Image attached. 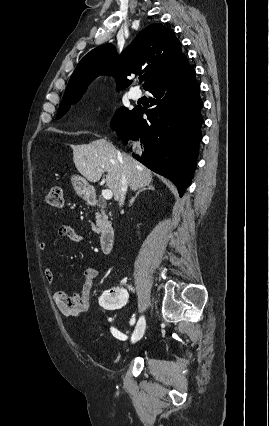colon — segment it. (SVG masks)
Wrapping results in <instances>:
<instances>
[{
    "mask_svg": "<svg viewBox=\"0 0 269 426\" xmlns=\"http://www.w3.org/2000/svg\"><path fill=\"white\" fill-rule=\"evenodd\" d=\"M46 204L52 208H62L63 190L60 186H53L46 195Z\"/></svg>",
    "mask_w": 269,
    "mask_h": 426,
    "instance_id": "5ec220e1",
    "label": "colon"
}]
</instances>
